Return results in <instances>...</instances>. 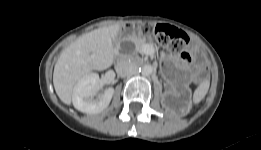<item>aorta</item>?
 Here are the masks:
<instances>
[{"instance_id":"762f6f07","label":"aorta","mask_w":261,"mask_h":150,"mask_svg":"<svg viewBox=\"0 0 261 150\" xmlns=\"http://www.w3.org/2000/svg\"><path fill=\"white\" fill-rule=\"evenodd\" d=\"M154 71V67L152 65L146 64L142 67L141 73L145 76L151 75Z\"/></svg>"}]
</instances>
